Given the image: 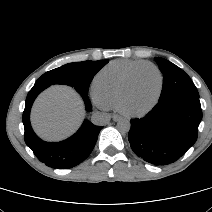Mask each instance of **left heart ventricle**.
Segmentation results:
<instances>
[{"mask_svg": "<svg viewBox=\"0 0 212 212\" xmlns=\"http://www.w3.org/2000/svg\"><path fill=\"white\" fill-rule=\"evenodd\" d=\"M159 88V77L151 68H144L136 75L132 87L124 102L130 111L147 108L155 99Z\"/></svg>", "mask_w": 212, "mask_h": 212, "instance_id": "left-heart-ventricle-1", "label": "left heart ventricle"}]
</instances>
